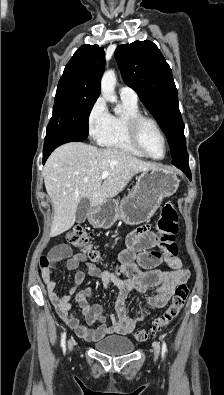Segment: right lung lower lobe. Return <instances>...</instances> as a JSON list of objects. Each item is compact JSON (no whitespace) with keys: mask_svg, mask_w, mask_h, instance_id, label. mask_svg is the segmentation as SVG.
Wrapping results in <instances>:
<instances>
[{"mask_svg":"<svg viewBox=\"0 0 224 395\" xmlns=\"http://www.w3.org/2000/svg\"><path fill=\"white\" fill-rule=\"evenodd\" d=\"M82 139L76 138L68 133L62 131H49L47 130L44 149H43V164L47 160L51 152L58 146L68 142H80Z\"/></svg>","mask_w":224,"mask_h":395,"instance_id":"right-lung-lower-lobe-1","label":"right lung lower lobe"}]
</instances>
